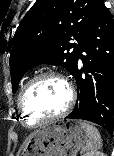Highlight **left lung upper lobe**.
<instances>
[{
    "label": "left lung upper lobe",
    "mask_w": 114,
    "mask_h": 156,
    "mask_svg": "<svg viewBox=\"0 0 114 156\" xmlns=\"http://www.w3.org/2000/svg\"><path fill=\"white\" fill-rule=\"evenodd\" d=\"M100 1L35 2L22 19L13 39L10 53L13 92L26 71L43 63L63 66L74 74L81 41Z\"/></svg>",
    "instance_id": "left-lung-upper-lobe-1"
}]
</instances>
